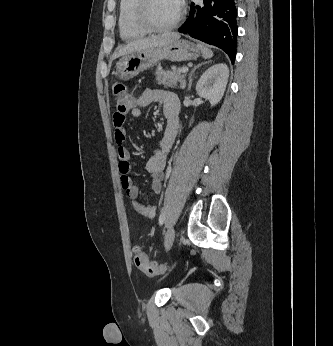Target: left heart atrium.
Returning <instances> with one entry per match:
<instances>
[{
  "mask_svg": "<svg viewBox=\"0 0 333 346\" xmlns=\"http://www.w3.org/2000/svg\"><path fill=\"white\" fill-rule=\"evenodd\" d=\"M178 4H179V2H180V0H175Z\"/></svg>",
  "mask_w": 333,
  "mask_h": 346,
  "instance_id": "39dd6f15",
  "label": "left heart atrium"
}]
</instances>
